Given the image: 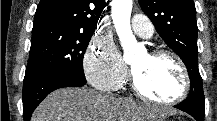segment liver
Returning a JSON list of instances; mask_svg holds the SVG:
<instances>
[{"label": "liver", "mask_w": 217, "mask_h": 121, "mask_svg": "<svg viewBox=\"0 0 217 121\" xmlns=\"http://www.w3.org/2000/svg\"><path fill=\"white\" fill-rule=\"evenodd\" d=\"M157 117L156 110L131 99L69 87L50 93L31 121H154Z\"/></svg>", "instance_id": "1"}]
</instances>
